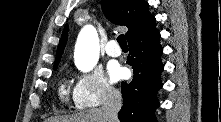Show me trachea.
<instances>
[{
	"instance_id": "3493384b",
	"label": "trachea",
	"mask_w": 221,
	"mask_h": 122,
	"mask_svg": "<svg viewBox=\"0 0 221 122\" xmlns=\"http://www.w3.org/2000/svg\"><path fill=\"white\" fill-rule=\"evenodd\" d=\"M117 41H118L120 47H128L124 34L119 35L117 37Z\"/></svg>"
}]
</instances>
